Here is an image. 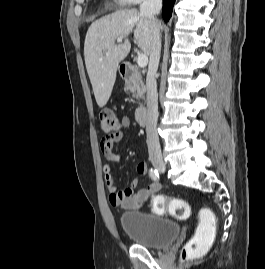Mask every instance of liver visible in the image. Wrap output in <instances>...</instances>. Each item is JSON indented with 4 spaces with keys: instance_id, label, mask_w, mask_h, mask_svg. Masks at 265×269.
<instances>
[{
    "instance_id": "obj_1",
    "label": "liver",
    "mask_w": 265,
    "mask_h": 269,
    "mask_svg": "<svg viewBox=\"0 0 265 269\" xmlns=\"http://www.w3.org/2000/svg\"><path fill=\"white\" fill-rule=\"evenodd\" d=\"M159 31L161 24L158 22ZM133 32L140 50L150 55L152 47V25L136 9H123L94 21L86 34L84 58L99 107H104L112 93L119 63L131 49L128 35ZM123 44H116L118 38Z\"/></svg>"
}]
</instances>
